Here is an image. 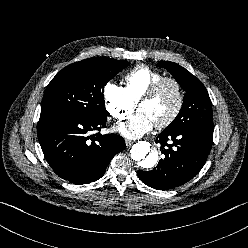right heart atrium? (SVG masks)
I'll return each mask as SVG.
<instances>
[{
	"label": "right heart atrium",
	"instance_id": "1",
	"mask_svg": "<svg viewBox=\"0 0 248 248\" xmlns=\"http://www.w3.org/2000/svg\"><path fill=\"white\" fill-rule=\"evenodd\" d=\"M103 98L108 113L118 121L134 110L135 103L130 100L124 88L115 83L106 84Z\"/></svg>",
	"mask_w": 248,
	"mask_h": 248
}]
</instances>
